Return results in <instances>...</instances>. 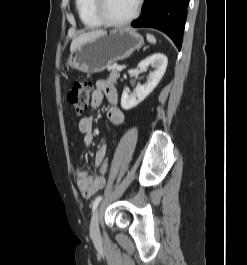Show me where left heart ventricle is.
Listing matches in <instances>:
<instances>
[{
  "mask_svg": "<svg viewBox=\"0 0 247 265\" xmlns=\"http://www.w3.org/2000/svg\"><path fill=\"white\" fill-rule=\"evenodd\" d=\"M106 12L115 20H123L131 15L137 0H106Z\"/></svg>",
  "mask_w": 247,
  "mask_h": 265,
  "instance_id": "b2bd125f",
  "label": "left heart ventricle"
}]
</instances>
